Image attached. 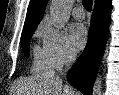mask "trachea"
Masks as SVG:
<instances>
[{
    "label": "trachea",
    "instance_id": "1",
    "mask_svg": "<svg viewBox=\"0 0 119 95\" xmlns=\"http://www.w3.org/2000/svg\"><path fill=\"white\" fill-rule=\"evenodd\" d=\"M93 0H83V6L87 11L92 10Z\"/></svg>",
    "mask_w": 119,
    "mask_h": 95
}]
</instances>
